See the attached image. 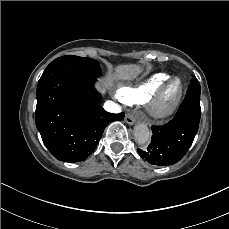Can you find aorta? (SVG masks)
Wrapping results in <instances>:
<instances>
[{
  "instance_id": "obj_1",
  "label": "aorta",
  "mask_w": 229,
  "mask_h": 229,
  "mask_svg": "<svg viewBox=\"0 0 229 229\" xmlns=\"http://www.w3.org/2000/svg\"><path fill=\"white\" fill-rule=\"evenodd\" d=\"M134 138L135 141L140 144H146L150 139V130L145 124H137L134 127Z\"/></svg>"
}]
</instances>
